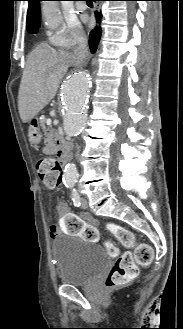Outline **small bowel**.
Wrapping results in <instances>:
<instances>
[{
  "label": "small bowel",
  "mask_w": 183,
  "mask_h": 329,
  "mask_svg": "<svg viewBox=\"0 0 183 329\" xmlns=\"http://www.w3.org/2000/svg\"><path fill=\"white\" fill-rule=\"evenodd\" d=\"M44 151L46 153L53 152V143L48 140ZM56 213L59 219H74V212H70L66 203L60 202L57 206ZM83 220H60L59 226H51L49 230L50 237H56L62 230L65 236H80V242H98L100 236L99 226L96 225V219L88 214H82Z\"/></svg>",
  "instance_id": "obj_1"
}]
</instances>
